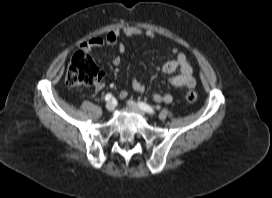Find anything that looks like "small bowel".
I'll return each instance as SVG.
<instances>
[{
    "label": "small bowel",
    "instance_id": "1",
    "mask_svg": "<svg viewBox=\"0 0 272 198\" xmlns=\"http://www.w3.org/2000/svg\"><path fill=\"white\" fill-rule=\"evenodd\" d=\"M123 34L126 37H136L143 36L147 38H154L155 34L149 30H142L137 27L128 26L124 27L122 30L116 29L109 32L106 36L100 37L96 36L91 38L90 40L83 42L81 44V49L84 51H90L92 49L100 48L104 45L116 46L119 54L115 56L112 60L113 65L118 66L122 62V55L125 53V45L119 42L120 35ZM173 53L175 54V58L166 62L162 66V72L164 74L170 75L168 77V83L174 87L192 89L195 87V79L193 77V69L187 58V56L178 51L177 49H173ZM106 86V82L104 79L99 78L95 84L94 88L97 92L103 90ZM132 90L138 93H141L145 90L143 84H141L136 78H133L131 81ZM127 95L126 91H122L120 93L121 98H125ZM152 99L155 102H163V103H171L173 97L171 94L165 93H155L152 95Z\"/></svg>",
    "mask_w": 272,
    "mask_h": 198
}]
</instances>
